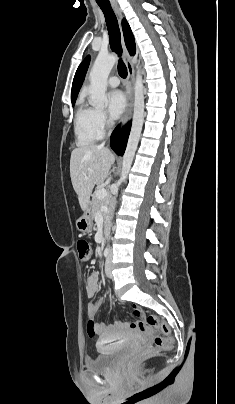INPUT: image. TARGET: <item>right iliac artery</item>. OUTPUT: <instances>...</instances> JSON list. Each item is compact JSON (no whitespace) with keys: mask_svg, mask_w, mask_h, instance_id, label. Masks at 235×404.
I'll return each instance as SVG.
<instances>
[{"mask_svg":"<svg viewBox=\"0 0 235 404\" xmlns=\"http://www.w3.org/2000/svg\"><path fill=\"white\" fill-rule=\"evenodd\" d=\"M108 254H109V249H108V248H106V249L104 250V256H105V257H107V256H108Z\"/></svg>","mask_w":235,"mask_h":404,"instance_id":"obj_1","label":"right iliac artery"}]
</instances>
